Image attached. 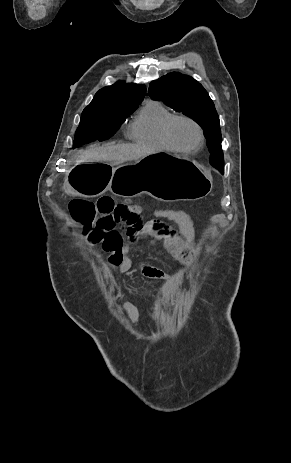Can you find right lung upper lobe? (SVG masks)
<instances>
[{"instance_id":"obj_1","label":"right lung upper lobe","mask_w":291,"mask_h":463,"mask_svg":"<svg viewBox=\"0 0 291 463\" xmlns=\"http://www.w3.org/2000/svg\"><path fill=\"white\" fill-rule=\"evenodd\" d=\"M146 87L139 84H125L117 82L111 86L100 89L94 96L92 102L85 109L110 106L124 108L139 104L144 98Z\"/></svg>"}]
</instances>
